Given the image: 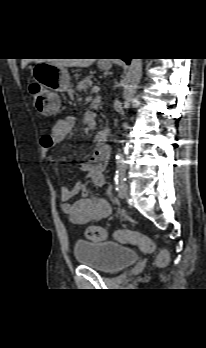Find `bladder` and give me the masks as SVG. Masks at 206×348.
<instances>
[{"label": "bladder", "instance_id": "31cf9c89", "mask_svg": "<svg viewBox=\"0 0 206 348\" xmlns=\"http://www.w3.org/2000/svg\"><path fill=\"white\" fill-rule=\"evenodd\" d=\"M74 254L79 265L107 274L119 272L140 258L133 248L110 241H77Z\"/></svg>", "mask_w": 206, "mask_h": 348}]
</instances>
